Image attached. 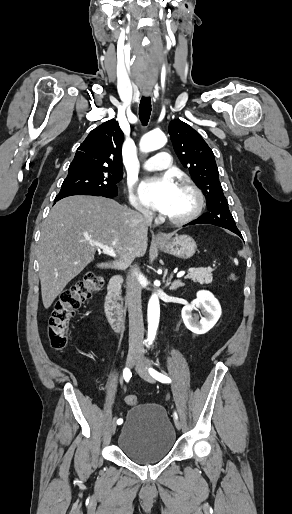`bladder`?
Returning <instances> with one entry per match:
<instances>
[{"label": "bladder", "mask_w": 292, "mask_h": 514, "mask_svg": "<svg viewBox=\"0 0 292 514\" xmlns=\"http://www.w3.org/2000/svg\"><path fill=\"white\" fill-rule=\"evenodd\" d=\"M175 443L176 433L165 409L152 403L128 410L117 441L121 452L138 464L163 460Z\"/></svg>", "instance_id": "bladder-1"}]
</instances>
